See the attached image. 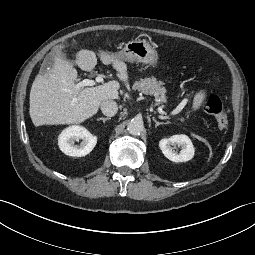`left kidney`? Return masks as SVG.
Segmentation results:
<instances>
[{"instance_id": "1", "label": "left kidney", "mask_w": 255, "mask_h": 255, "mask_svg": "<svg viewBox=\"0 0 255 255\" xmlns=\"http://www.w3.org/2000/svg\"><path fill=\"white\" fill-rule=\"evenodd\" d=\"M180 146L181 151L178 153L172 146ZM159 147L166 158L173 162H186L194 156V146L186 135H173L170 138H164L159 142Z\"/></svg>"}]
</instances>
